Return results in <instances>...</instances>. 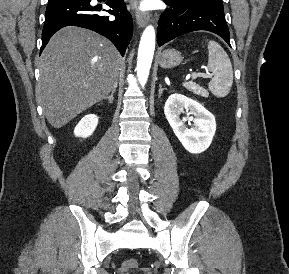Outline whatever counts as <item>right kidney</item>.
<instances>
[{
    "mask_svg": "<svg viewBox=\"0 0 289 274\" xmlns=\"http://www.w3.org/2000/svg\"><path fill=\"white\" fill-rule=\"evenodd\" d=\"M98 124V117L95 114L85 115L74 129L76 137L87 138L95 131Z\"/></svg>",
    "mask_w": 289,
    "mask_h": 274,
    "instance_id": "ca27d5eb",
    "label": "right kidney"
}]
</instances>
